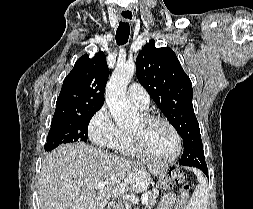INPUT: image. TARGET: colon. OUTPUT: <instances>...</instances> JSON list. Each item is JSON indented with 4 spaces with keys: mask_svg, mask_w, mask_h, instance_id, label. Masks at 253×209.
<instances>
[{
    "mask_svg": "<svg viewBox=\"0 0 253 209\" xmlns=\"http://www.w3.org/2000/svg\"><path fill=\"white\" fill-rule=\"evenodd\" d=\"M168 184L170 186L182 184V188L180 191L178 203L176 205L177 209H186V204L189 197V185L186 183V176L184 173L179 171H172L168 178Z\"/></svg>",
    "mask_w": 253,
    "mask_h": 209,
    "instance_id": "5ec220e1",
    "label": "colon"
}]
</instances>
